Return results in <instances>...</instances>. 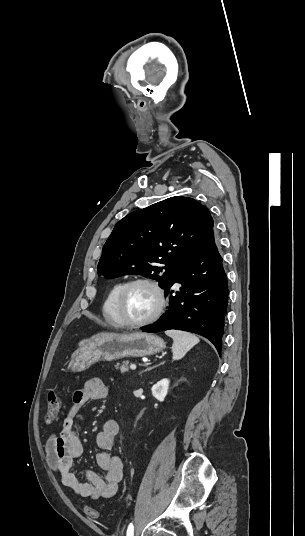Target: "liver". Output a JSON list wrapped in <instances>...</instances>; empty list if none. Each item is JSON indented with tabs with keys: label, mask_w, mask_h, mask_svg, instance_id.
<instances>
[{
	"label": "liver",
	"mask_w": 305,
	"mask_h": 536,
	"mask_svg": "<svg viewBox=\"0 0 305 536\" xmlns=\"http://www.w3.org/2000/svg\"><path fill=\"white\" fill-rule=\"evenodd\" d=\"M93 338H95V336H93ZM86 342H88V340H82V342H80L79 346H84V344H86Z\"/></svg>",
	"instance_id": "obj_1"
}]
</instances>
